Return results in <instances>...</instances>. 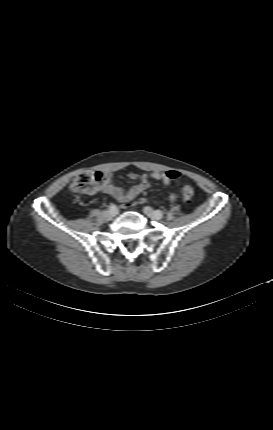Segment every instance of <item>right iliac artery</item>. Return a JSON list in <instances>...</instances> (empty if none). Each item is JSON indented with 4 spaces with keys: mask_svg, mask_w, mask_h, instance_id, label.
Segmentation results:
<instances>
[{
    "mask_svg": "<svg viewBox=\"0 0 273 430\" xmlns=\"http://www.w3.org/2000/svg\"><path fill=\"white\" fill-rule=\"evenodd\" d=\"M109 209L114 210V209H116V206L114 204H111L110 207H109Z\"/></svg>",
    "mask_w": 273,
    "mask_h": 430,
    "instance_id": "82829eb1",
    "label": "right iliac artery"
}]
</instances>
